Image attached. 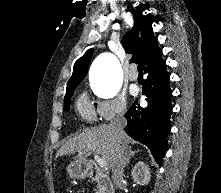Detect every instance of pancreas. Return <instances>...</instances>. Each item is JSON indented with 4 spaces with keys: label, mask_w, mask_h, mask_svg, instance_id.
Segmentation results:
<instances>
[{
    "label": "pancreas",
    "mask_w": 221,
    "mask_h": 193,
    "mask_svg": "<svg viewBox=\"0 0 221 193\" xmlns=\"http://www.w3.org/2000/svg\"><path fill=\"white\" fill-rule=\"evenodd\" d=\"M96 193H105V189L101 184L97 185Z\"/></svg>",
    "instance_id": "pancreas-1"
}]
</instances>
